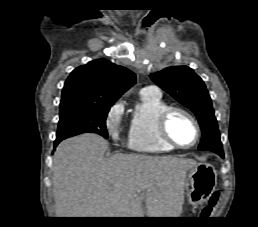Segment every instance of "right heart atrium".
<instances>
[{
    "label": "right heart atrium",
    "mask_w": 258,
    "mask_h": 227,
    "mask_svg": "<svg viewBox=\"0 0 258 227\" xmlns=\"http://www.w3.org/2000/svg\"><path fill=\"white\" fill-rule=\"evenodd\" d=\"M124 111V105L122 102L114 104L108 112L106 117V128L111 137L117 138L122 130L121 121Z\"/></svg>",
    "instance_id": "1"
}]
</instances>
